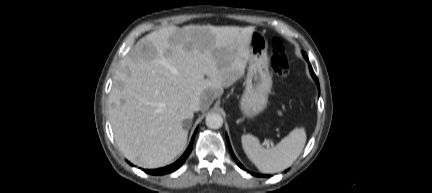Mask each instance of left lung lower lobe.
I'll use <instances>...</instances> for the list:
<instances>
[{"label": "left lung lower lobe", "instance_id": "obj_1", "mask_svg": "<svg viewBox=\"0 0 432 193\" xmlns=\"http://www.w3.org/2000/svg\"><path fill=\"white\" fill-rule=\"evenodd\" d=\"M303 56H304V58L308 61V57H307V55H306L305 53H303ZM309 69H310V73H311L312 77L314 78L315 82L317 83L318 90H319V92H320V86H319L318 79H317L316 75L314 74L313 69H312V67H311L310 64H309ZM227 142H228V146H229L230 152H231V154H232L234 160L236 161V163L238 164V166H239L240 168L244 169V167L241 165V163H240V162L237 160V158L235 157V155H234V153H233V151H232V148H231V145H230V142H229L228 137H227ZM253 175H255V174H253ZM262 176H263V177H268V175H262Z\"/></svg>", "mask_w": 432, "mask_h": 193}]
</instances>
